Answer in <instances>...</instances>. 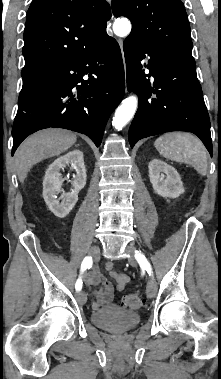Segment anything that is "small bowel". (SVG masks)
<instances>
[{
  "label": "small bowel",
  "instance_id": "1",
  "mask_svg": "<svg viewBox=\"0 0 221 379\" xmlns=\"http://www.w3.org/2000/svg\"><path fill=\"white\" fill-rule=\"evenodd\" d=\"M105 268L114 280L116 290L123 291L130 280L129 276L114 271L112 262H107ZM84 281L87 285L96 286L94 300L91 303L93 309H98L101 305L112 301L114 286L100 272L94 271L93 273L85 274Z\"/></svg>",
  "mask_w": 221,
  "mask_h": 379
}]
</instances>
